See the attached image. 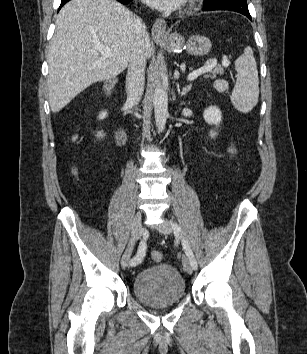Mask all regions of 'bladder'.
<instances>
[{
	"mask_svg": "<svg viewBox=\"0 0 307 354\" xmlns=\"http://www.w3.org/2000/svg\"><path fill=\"white\" fill-rule=\"evenodd\" d=\"M133 293L143 304L166 307L178 303L186 293V283L178 270L161 263L141 270L133 280Z\"/></svg>",
	"mask_w": 307,
	"mask_h": 354,
	"instance_id": "bladder-1",
	"label": "bladder"
}]
</instances>
